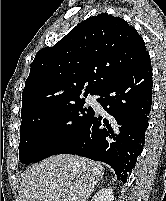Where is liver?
Listing matches in <instances>:
<instances>
[{
	"mask_svg": "<svg viewBox=\"0 0 166 201\" xmlns=\"http://www.w3.org/2000/svg\"><path fill=\"white\" fill-rule=\"evenodd\" d=\"M103 175L99 162L70 154L51 156L21 175L22 201H87Z\"/></svg>",
	"mask_w": 166,
	"mask_h": 201,
	"instance_id": "liver-1",
	"label": "liver"
}]
</instances>
